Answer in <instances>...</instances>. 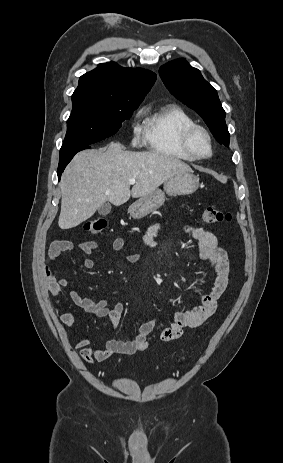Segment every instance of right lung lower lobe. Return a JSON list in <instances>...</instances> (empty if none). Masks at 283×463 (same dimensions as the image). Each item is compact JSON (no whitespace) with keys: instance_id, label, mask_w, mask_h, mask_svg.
I'll return each mask as SVG.
<instances>
[{"instance_id":"1","label":"right lung lower lobe","mask_w":283,"mask_h":463,"mask_svg":"<svg viewBox=\"0 0 283 463\" xmlns=\"http://www.w3.org/2000/svg\"><path fill=\"white\" fill-rule=\"evenodd\" d=\"M88 148H90V145L81 146L78 148L60 152V160H59V165H58V170H57L58 179H60L62 172L64 171L66 165L71 161L73 156L77 152L84 150V149H88Z\"/></svg>"}]
</instances>
